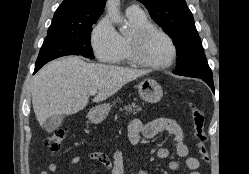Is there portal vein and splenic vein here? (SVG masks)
I'll use <instances>...</instances> for the list:
<instances>
[{
	"mask_svg": "<svg viewBox=\"0 0 249 174\" xmlns=\"http://www.w3.org/2000/svg\"><path fill=\"white\" fill-rule=\"evenodd\" d=\"M97 93V90H91L90 95H95Z\"/></svg>",
	"mask_w": 249,
	"mask_h": 174,
	"instance_id": "portal-vein-and-splenic-vein-1",
	"label": "portal vein and splenic vein"
}]
</instances>
